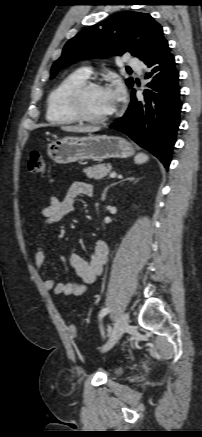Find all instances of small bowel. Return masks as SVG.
<instances>
[{"label":"small bowel","instance_id":"obj_1","mask_svg":"<svg viewBox=\"0 0 202 437\" xmlns=\"http://www.w3.org/2000/svg\"><path fill=\"white\" fill-rule=\"evenodd\" d=\"M93 195V186L87 182H75L68 189L63 199L51 196L49 204L40 211V217L46 225L58 222L64 215L75 212V201L80 196L91 197ZM108 247L104 241H96L93 246V252L89 260H86L80 253L73 250L70 255V265L76 272L80 282H56L53 278L48 277L43 282V287L47 291L53 290L55 294L67 296H79L85 293L88 285L95 282L101 274L107 261ZM35 267L40 270L45 263V252L41 247L39 237L35 242Z\"/></svg>","mask_w":202,"mask_h":437}]
</instances>
